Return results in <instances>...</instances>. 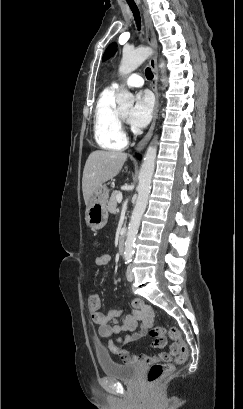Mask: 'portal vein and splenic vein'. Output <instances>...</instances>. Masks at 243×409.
<instances>
[{
	"instance_id": "portal-vein-and-splenic-vein-1",
	"label": "portal vein and splenic vein",
	"mask_w": 243,
	"mask_h": 409,
	"mask_svg": "<svg viewBox=\"0 0 243 409\" xmlns=\"http://www.w3.org/2000/svg\"><path fill=\"white\" fill-rule=\"evenodd\" d=\"M116 200H117L118 203H121L122 202V195L121 194L117 195Z\"/></svg>"
}]
</instances>
